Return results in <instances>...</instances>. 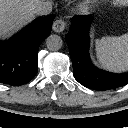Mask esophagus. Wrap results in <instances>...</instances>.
<instances>
[{
  "label": "esophagus",
  "instance_id": "1",
  "mask_svg": "<svg viewBox=\"0 0 128 128\" xmlns=\"http://www.w3.org/2000/svg\"><path fill=\"white\" fill-rule=\"evenodd\" d=\"M52 27L55 32L60 33L62 31H64V29L66 28V22L61 18L57 19L54 21Z\"/></svg>",
  "mask_w": 128,
  "mask_h": 128
}]
</instances>
